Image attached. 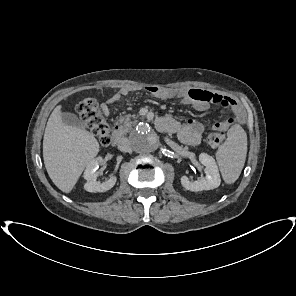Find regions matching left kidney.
I'll return each instance as SVG.
<instances>
[{"label": "left kidney", "instance_id": "5707ae66", "mask_svg": "<svg viewBox=\"0 0 296 296\" xmlns=\"http://www.w3.org/2000/svg\"><path fill=\"white\" fill-rule=\"evenodd\" d=\"M200 163L205 166L204 178L196 181H190L187 176L181 177L182 186L189 191L198 192L202 190H211L219 187L221 183L220 174L214 158L206 153L199 155Z\"/></svg>", "mask_w": 296, "mask_h": 296}]
</instances>
